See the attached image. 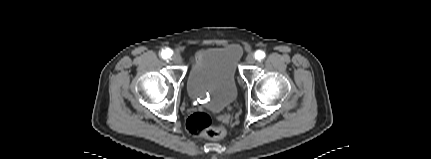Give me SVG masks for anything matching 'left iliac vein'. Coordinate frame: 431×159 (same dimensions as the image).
<instances>
[{
	"label": "left iliac vein",
	"mask_w": 431,
	"mask_h": 159,
	"mask_svg": "<svg viewBox=\"0 0 431 159\" xmlns=\"http://www.w3.org/2000/svg\"><path fill=\"white\" fill-rule=\"evenodd\" d=\"M256 61L255 57L253 54H248L246 57V63L247 64H254Z\"/></svg>",
	"instance_id": "4c4485c4"
}]
</instances>
